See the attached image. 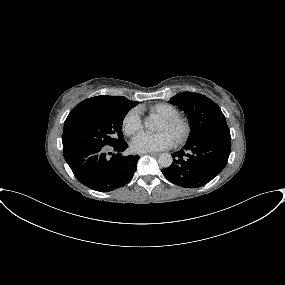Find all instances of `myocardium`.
<instances>
[{
    "mask_svg": "<svg viewBox=\"0 0 285 285\" xmlns=\"http://www.w3.org/2000/svg\"><path fill=\"white\" fill-rule=\"evenodd\" d=\"M160 121L176 130V135L174 137L176 145H183L188 141L192 132V124L188 118L178 114L162 117L160 118Z\"/></svg>",
    "mask_w": 285,
    "mask_h": 285,
    "instance_id": "f54148a6",
    "label": "myocardium"
}]
</instances>
